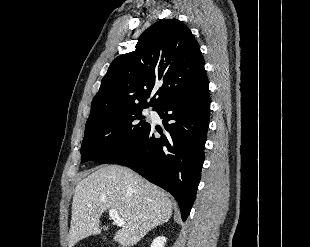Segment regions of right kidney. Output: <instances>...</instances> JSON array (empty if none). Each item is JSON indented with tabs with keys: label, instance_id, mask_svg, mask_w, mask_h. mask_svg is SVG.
I'll return each instance as SVG.
<instances>
[{
	"label": "right kidney",
	"instance_id": "ca27d5eb",
	"mask_svg": "<svg viewBox=\"0 0 310 247\" xmlns=\"http://www.w3.org/2000/svg\"><path fill=\"white\" fill-rule=\"evenodd\" d=\"M166 240L164 236H159L153 240L151 247H164Z\"/></svg>",
	"mask_w": 310,
	"mask_h": 247
}]
</instances>
